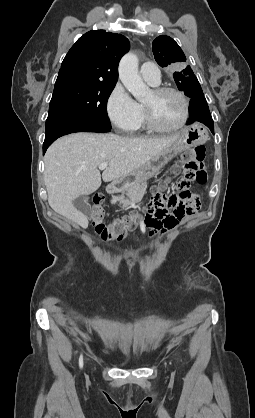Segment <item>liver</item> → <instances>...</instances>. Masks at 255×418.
Segmentation results:
<instances>
[{"label":"liver","mask_w":255,"mask_h":418,"mask_svg":"<svg viewBox=\"0 0 255 418\" xmlns=\"http://www.w3.org/2000/svg\"><path fill=\"white\" fill-rule=\"evenodd\" d=\"M179 135L138 138L112 133H74L58 139L48 148L44 158L49 205L56 213L86 228L88 220L74 206V200L101 186L98 166L107 163L102 173L104 182L127 177L170 147Z\"/></svg>","instance_id":"obj_1"}]
</instances>
